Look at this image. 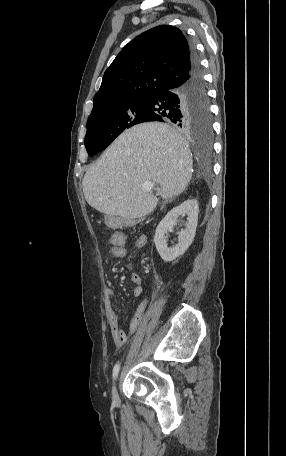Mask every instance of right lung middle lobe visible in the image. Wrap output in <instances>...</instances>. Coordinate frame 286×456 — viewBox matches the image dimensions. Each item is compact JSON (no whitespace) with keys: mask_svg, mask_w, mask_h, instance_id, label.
<instances>
[{"mask_svg":"<svg viewBox=\"0 0 286 456\" xmlns=\"http://www.w3.org/2000/svg\"><path fill=\"white\" fill-rule=\"evenodd\" d=\"M149 112L145 98L135 97L106 105L91 114L87 122L84 140L88 154L93 156L104 150L123 130L145 122ZM188 129L210 138L211 117L208 116L204 123L188 127Z\"/></svg>","mask_w":286,"mask_h":456,"instance_id":"dd1d6c3e","label":"right lung middle lobe"}]
</instances>
